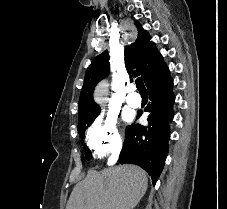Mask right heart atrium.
<instances>
[{
	"mask_svg": "<svg viewBox=\"0 0 227 209\" xmlns=\"http://www.w3.org/2000/svg\"><path fill=\"white\" fill-rule=\"evenodd\" d=\"M86 142L96 158L106 157L121 148L122 138L115 120L97 119L87 130Z\"/></svg>",
	"mask_w": 227,
	"mask_h": 209,
	"instance_id": "d8ad5b80",
	"label": "right heart atrium"
}]
</instances>
